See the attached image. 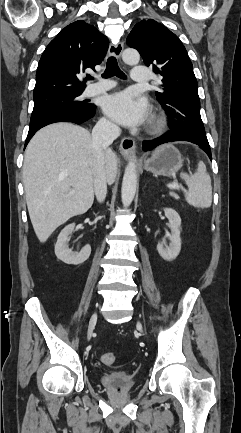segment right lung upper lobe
<instances>
[{"instance_id": "obj_1", "label": "right lung upper lobe", "mask_w": 241, "mask_h": 433, "mask_svg": "<svg viewBox=\"0 0 241 433\" xmlns=\"http://www.w3.org/2000/svg\"><path fill=\"white\" fill-rule=\"evenodd\" d=\"M109 41L93 25L78 20L48 44L36 73L33 97L55 91H83L79 76L105 57Z\"/></svg>"}]
</instances>
